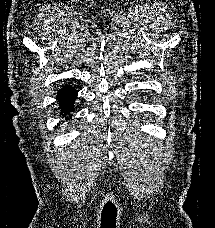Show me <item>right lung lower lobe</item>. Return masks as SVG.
<instances>
[{
    "label": "right lung lower lobe",
    "instance_id": "98d812e1",
    "mask_svg": "<svg viewBox=\"0 0 215 228\" xmlns=\"http://www.w3.org/2000/svg\"><path fill=\"white\" fill-rule=\"evenodd\" d=\"M76 96L77 91L67 84L59 90L57 100L61 109L60 115L64 116L66 120H68V117H66V115H70V113L75 110L74 101L76 99Z\"/></svg>",
    "mask_w": 215,
    "mask_h": 228
}]
</instances>
